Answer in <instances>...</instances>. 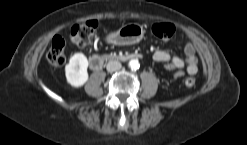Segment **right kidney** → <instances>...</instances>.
I'll list each match as a JSON object with an SVG mask.
<instances>
[{
    "label": "right kidney",
    "instance_id": "obj_1",
    "mask_svg": "<svg viewBox=\"0 0 247 145\" xmlns=\"http://www.w3.org/2000/svg\"><path fill=\"white\" fill-rule=\"evenodd\" d=\"M88 60L83 53H75L65 66L67 82L74 88L83 86L89 78Z\"/></svg>",
    "mask_w": 247,
    "mask_h": 145
}]
</instances>
